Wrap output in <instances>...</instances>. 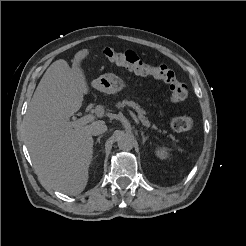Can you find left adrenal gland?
I'll list each match as a JSON object with an SVG mask.
<instances>
[{"instance_id": "obj_1", "label": "left adrenal gland", "mask_w": 246, "mask_h": 246, "mask_svg": "<svg viewBox=\"0 0 246 246\" xmlns=\"http://www.w3.org/2000/svg\"><path fill=\"white\" fill-rule=\"evenodd\" d=\"M142 143L145 144L147 137L144 135L143 131H141Z\"/></svg>"}]
</instances>
